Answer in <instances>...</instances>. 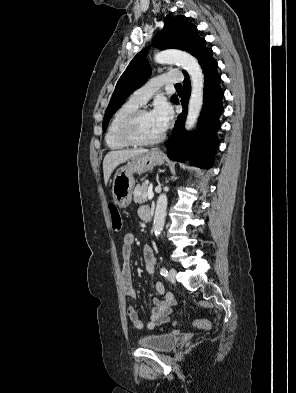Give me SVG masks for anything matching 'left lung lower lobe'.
Returning <instances> with one entry per match:
<instances>
[{
    "label": "left lung lower lobe",
    "mask_w": 296,
    "mask_h": 393,
    "mask_svg": "<svg viewBox=\"0 0 296 393\" xmlns=\"http://www.w3.org/2000/svg\"><path fill=\"white\" fill-rule=\"evenodd\" d=\"M204 73V100L200 114L199 127L194 133L184 129L187 114V103L190 95V79L185 75L184 93L181 99L183 112L177 117L173 132L166 142L167 156L176 161L189 160L191 165L210 168L213 163L215 150L218 146L216 137L220 126L219 116L223 111L222 97L224 92L220 87L221 77L217 73V62L212 57V51L201 61ZM178 103V100L177 102Z\"/></svg>",
    "instance_id": "left-lung-lower-lobe-1"
}]
</instances>
